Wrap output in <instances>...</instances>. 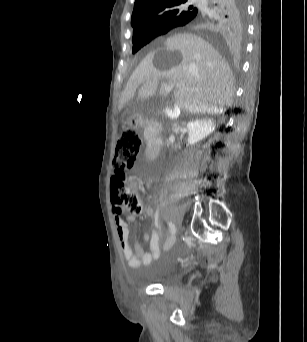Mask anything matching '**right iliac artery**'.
<instances>
[{"label":"right iliac artery","mask_w":307,"mask_h":342,"mask_svg":"<svg viewBox=\"0 0 307 342\" xmlns=\"http://www.w3.org/2000/svg\"><path fill=\"white\" fill-rule=\"evenodd\" d=\"M168 226H169V230H170L172 237H174L176 233L175 225L172 222H168Z\"/></svg>","instance_id":"right-iliac-artery-1"}]
</instances>
